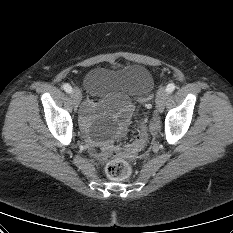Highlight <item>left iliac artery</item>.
I'll return each mask as SVG.
<instances>
[{
    "label": "left iliac artery",
    "mask_w": 233,
    "mask_h": 233,
    "mask_svg": "<svg viewBox=\"0 0 233 233\" xmlns=\"http://www.w3.org/2000/svg\"><path fill=\"white\" fill-rule=\"evenodd\" d=\"M175 84L174 83H170V84H168L167 85V87H166V91L168 92V93H172L174 90H175Z\"/></svg>",
    "instance_id": "left-iliac-artery-1"
}]
</instances>
